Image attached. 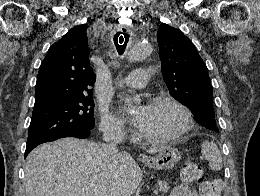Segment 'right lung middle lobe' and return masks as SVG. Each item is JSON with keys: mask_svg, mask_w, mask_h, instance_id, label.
Masks as SVG:
<instances>
[{"mask_svg": "<svg viewBox=\"0 0 260 196\" xmlns=\"http://www.w3.org/2000/svg\"><path fill=\"white\" fill-rule=\"evenodd\" d=\"M93 110L92 92L57 96L35 105L26 148L91 130L95 125Z\"/></svg>", "mask_w": 260, "mask_h": 196, "instance_id": "obj_1", "label": "right lung middle lobe"}]
</instances>
